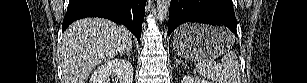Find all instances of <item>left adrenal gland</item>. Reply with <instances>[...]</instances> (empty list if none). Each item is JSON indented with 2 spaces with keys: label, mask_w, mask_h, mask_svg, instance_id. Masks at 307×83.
<instances>
[{
  "label": "left adrenal gland",
  "mask_w": 307,
  "mask_h": 83,
  "mask_svg": "<svg viewBox=\"0 0 307 83\" xmlns=\"http://www.w3.org/2000/svg\"><path fill=\"white\" fill-rule=\"evenodd\" d=\"M179 64L186 66V64H184L183 62H181L176 56H175V66L176 68L179 66Z\"/></svg>",
  "instance_id": "left-adrenal-gland-1"
}]
</instances>
